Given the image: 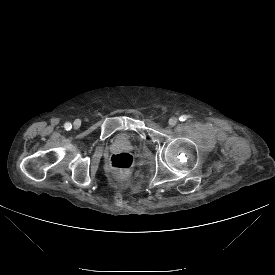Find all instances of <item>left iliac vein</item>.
I'll list each match as a JSON object with an SVG mask.
<instances>
[{
    "mask_svg": "<svg viewBox=\"0 0 275 275\" xmlns=\"http://www.w3.org/2000/svg\"><path fill=\"white\" fill-rule=\"evenodd\" d=\"M177 122H178V119L176 117H171L168 121L170 126L176 125Z\"/></svg>",
    "mask_w": 275,
    "mask_h": 275,
    "instance_id": "4c4485c4",
    "label": "left iliac vein"
}]
</instances>
